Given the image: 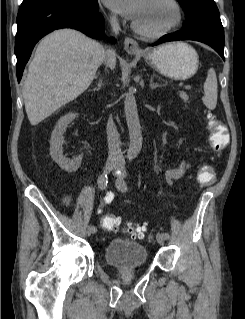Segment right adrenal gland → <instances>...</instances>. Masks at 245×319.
<instances>
[{
  "label": "right adrenal gland",
  "instance_id": "2a0ac1e0",
  "mask_svg": "<svg viewBox=\"0 0 245 319\" xmlns=\"http://www.w3.org/2000/svg\"><path fill=\"white\" fill-rule=\"evenodd\" d=\"M102 79H100L97 83V86L93 89V91H99L102 88Z\"/></svg>",
  "mask_w": 245,
  "mask_h": 319
}]
</instances>
